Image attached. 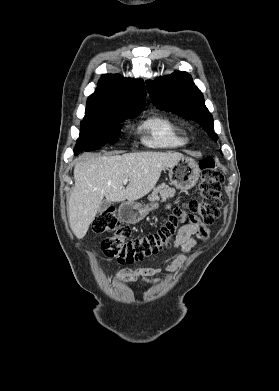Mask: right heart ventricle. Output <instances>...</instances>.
<instances>
[{
    "mask_svg": "<svg viewBox=\"0 0 279 391\" xmlns=\"http://www.w3.org/2000/svg\"><path fill=\"white\" fill-rule=\"evenodd\" d=\"M144 143L153 148H177L187 143L181 125L166 116H154L141 125Z\"/></svg>",
    "mask_w": 279,
    "mask_h": 391,
    "instance_id": "obj_1",
    "label": "right heart ventricle"
}]
</instances>
